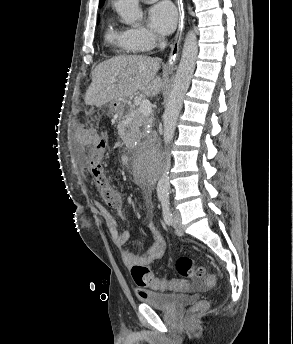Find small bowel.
<instances>
[{
  "instance_id": "small-bowel-1",
  "label": "small bowel",
  "mask_w": 293,
  "mask_h": 344,
  "mask_svg": "<svg viewBox=\"0 0 293 344\" xmlns=\"http://www.w3.org/2000/svg\"><path fill=\"white\" fill-rule=\"evenodd\" d=\"M99 137L85 128H77L75 131V145L79 152H84L92 146ZM99 212L105 221L107 231L112 239L116 249L119 251L121 258L126 266L148 265L163 257L166 251V241L164 237L157 231L153 222L148 224L151 233L152 242L142 254H136L126 247V243L130 238V233L126 230H120L115 217L102 205L97 204ZM117 216L124 218L123 207L120 205L116 209ZM145 291H140L142 296Z\"/></svg>"
}]
</instances>
